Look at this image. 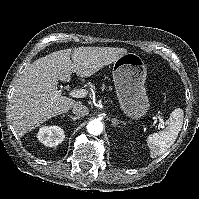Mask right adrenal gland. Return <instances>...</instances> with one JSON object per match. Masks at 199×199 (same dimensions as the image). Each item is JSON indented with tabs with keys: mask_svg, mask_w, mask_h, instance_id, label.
<instances>
[{
	"mask_svg": "<svg viewBox=\"0 0 199 199\" xmlns=\"http://www.w3.org/2000/svg\"><path fill=\"white\" fill-rule=\"evenodd\" d=\"M68 117H70L73 121H75V120H77V119H79L80 117H76V116H72V115H68Z\"/></svg>",
	"mask_w": 199,
	"mask_h": 199,
	"instance_id": "right-adrenal-gland-1",
	"label": "right adrenal gland"
}]
</instances>
